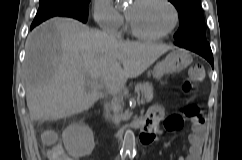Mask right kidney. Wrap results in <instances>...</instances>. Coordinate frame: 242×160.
Returning <instances> with one entry per match:
<instances>
[{"mask_svg": "<svg viewBox=\"0 0 242 160\" xmlns=\"http://www.w3.org/2000/svg\"><path fill=\"white\" fill-rule=\"evenodd\" d=\"M67 153L74 157H85L92 153L95 143L92 130L84 125H69L62 133Z\"/></svg>", "mask_w": 242, "mask_h": 160, "instance_id": "obj_1", "label": "right kidney"}]
</instances>
